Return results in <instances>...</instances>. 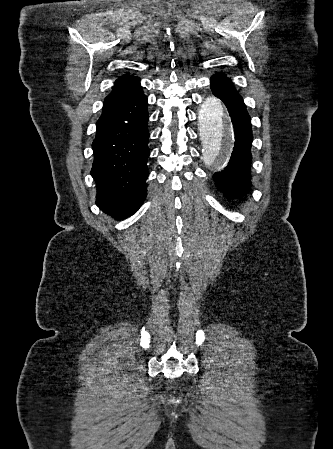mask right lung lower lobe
I'll return each instance as SVG.
<instances>
[{
  "label": "right lung lower lobe",
  "instance_id": "obj_1",
  "mask_svg": "<svg viewBox=\"0 0 333 449\" xmlns=\"http://www.w3.org/2000/svg\"><path fill=\"white\" fill-rule=\"evenodd\" d=\"M148 119L147 98L141 91L104 109L96 124L91 170L96 204L116 219L130 216L146 197Z\"/></svg>",
  "mask_w": 333,
  "mask_h": 449
}]
</instances>
